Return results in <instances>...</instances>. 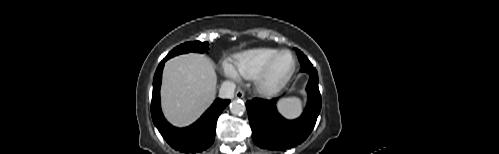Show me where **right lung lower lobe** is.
<instances>
[{
	"mask_svg": "<svg viewBox=\"0 0 499 154\" xmlns=\"http://www.w3.org/2000/svg\"><path fill=\"white\" fill-rule=\"evenodd\" d=\"M167 58H164L154 75L151 102L152 120L167 143L177 151L185 153L201 152L214 142L216 122L230 100L217 98L211 107L194 124L186 128H176L164 118L160 106L162 71Z\"/></svg>",
	"mask_w": 499,
	"mask_h": 154,
	"instance_id": "obj_1",
	"label": "right lung lower lobe"
}]
</instances>
